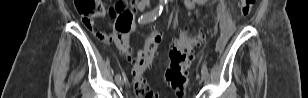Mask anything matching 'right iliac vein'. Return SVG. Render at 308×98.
Segmentation results:
<instances>
[{
	"mask_svg": "<svg viewBox=\"0 0 308 98\" xmlns=\"http://www.w3.org/2000/svg\"><path fill=\"white\" fill-rule=\"evenodd\" d=\"M115 81H116L117 85H119V86L123 83L121 76L119 78L115 79Z\"/></svg>",
	"mask_w": 308,
	"mask_h": 98,
	"instance_id": "63e3f726",
	"label": "right iliac vein"
}]
</instances>
